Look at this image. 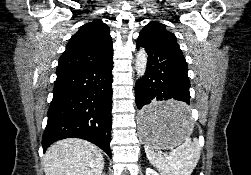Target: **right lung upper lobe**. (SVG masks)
<instances>
[{
  "instance_id": "cb5924a9",
  "label": "right lung upper lobe",
  "mask_w": 251,
  "mask_h": 175,
  "mask_svg": "<svg viewBox=\"0 0 251 175\" xmlns=\"http://www.w3.org/2000/svg\"><path fill=\"white\" fill-rule=\"evenodd\" d=\"M109 27L101 20L81 26L69 40L59 59L56 73L85 66L100 65L113 55Z\"/></svg>"
}]
</instances>
